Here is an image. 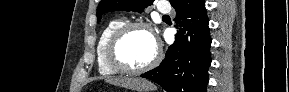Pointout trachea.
Here are the masks:
<instances>
[{
    "mask_svg": "<svg viewBox=\"0 0 289 92\" xmlns=\"http://www.w3.org/2000/svg\"><path fill=\"white\" fill-rule=\"evenodd\" d=\"M163 17H169L168 15H163Z\"/></svg>",
    "mask_w": 289,
    "mask_h": 92,
    "instance_id": "obj_1",
    "label": "trachea"
}]
</instances>
